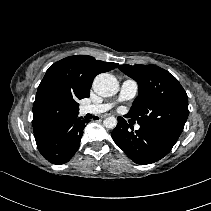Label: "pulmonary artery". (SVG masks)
<instances>
[{
  "label": "pulmonary artery",
  "mask_w": 211,
  "mask_h": 211,
  "mask_svg": "<svg viewBox=\"0 0 211 211\" xmlns=\"http://www.w3.org/2000/svg\"><path fill=\"white\" fill-rule=\"evenodd\" d=\"M137 92H138V83L131 78H127L121 84L120 93H119L117 101L130 100L135 97ZM114 105H115V102L88 104V105H84L81 108V113L82 114H100V113L110 110ZM139 128L140 126L137 125L136 129H139Z\"/></svg>",
  "instance_id": "e3ab8cb5"
}]
</instances>
